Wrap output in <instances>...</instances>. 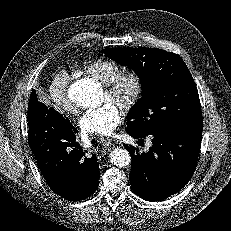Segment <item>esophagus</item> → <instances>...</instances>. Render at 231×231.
Listing matches in <instances>:
<instances>
[{"label":"esophagus","mask_w":231,"mask_h":231,"mask_svg":"<svg viewBox=\"0 0 231 231\" xmlns=\"http://www.w3.org/2000/svg\"><path fill=\"white\" fill-rule=\"evenodd\" d=\"M102 145L109 146L113 144V140L110 138H104L101 140Z\"/></svg>","instance_id":"esophagus-1"}]
</instances>
